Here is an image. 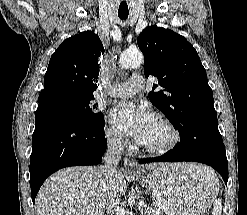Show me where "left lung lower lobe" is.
<instances>
[{"mask_svg": "<svg viewBox=\"0 0 247 215\" xmlns=\"http://www.w3.org/2000/svg\"><path fill=\"white\" fill-rule=\"evenodd\" d=\"M184 161L200 162L213 167L227 184L228 161L218 126L186 131L180 135V142L177 146L165 155L151 159H141L139 163Z\"/></svg>", "mask_w": 247, "mask_h": 215, "instance_id": "obj_1", "label": "left lung lower lobe"}]
</instances>
